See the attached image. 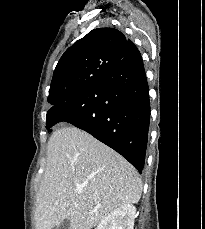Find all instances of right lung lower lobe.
<instances>
[{"mask_svg": "<svg viewBox=\"0 0 205 229\" xmlns=\"http://www.w3.org/2000/svg\"><path fill=\"white\" fill-rule=\"evenodd\" d=\"M137 50L131 47L107 76L54 105L47 113L46 127L59 121L71 123L120 153L141 173L150 102L143 60Z\"/></svg>", "mask_w": 205, "mask_h": 229, "instance_id": "obj_1", "label": "right lung lower lobe"}]
</instances>
